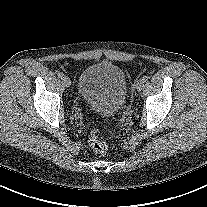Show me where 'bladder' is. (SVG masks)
I'll return each mask as SVG.
<instances>
[{
    "label": "bladder",
    "mask_w": 207,
    "mask_h": 207,
    "mask_svg": "<svg viewBox=\"0 0 207 207\" xmlns=\"http://www.w3.org/2000/svg\"><path fill=\"white\" fill-rule=\"evenodd\" d=\"M77 92L80 99L93 109L109 108L117 111L127 99L125 72L110 62L88 65L79 76Z\"/></svg>",
    "instance_id": "bladder-1"
}]
</instances>
